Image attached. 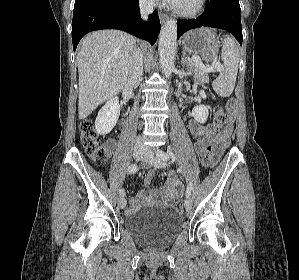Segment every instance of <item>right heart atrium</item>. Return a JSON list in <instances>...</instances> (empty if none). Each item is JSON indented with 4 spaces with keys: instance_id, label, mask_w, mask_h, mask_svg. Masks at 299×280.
Instances as JSON below:
<instances>
[{
    "instance_id": "1",
    "label": "right heart atrium",
    "mask_w": 299,
    "mask_h": 280,
    "mask_svg": "<svg viewBox=\"0 0 299 280\" xmlns=\"http://www.w3.org/2000/svg\"><path fill=\"white\" fill-rule=\"evenodd\" d=\"M155 0H141L142 4L145 6H152Z\"/></svg>"
}]
</instances>
